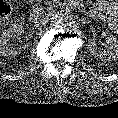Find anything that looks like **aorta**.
<instances>
[{
    "label": "aorta",
    "instance_id": "1",
    "mask_svg": "<svg viewBox=\"0 0 118 118\" xmlns=\"http://www.w3.org/2000/svg\"><path fill=\"white\" fill-rule=\"evenodd\" d=\"M51 22L55 27L62 28L73 24V17L69 13H58L51 17Z\"/></svg>",
    "mask_w": 118,
    "mask_h": 118
}]
</instances>
